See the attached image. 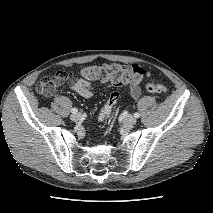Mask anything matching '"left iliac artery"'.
Here are the masks:
<instances>
[{"mask_svg": "<svg viewBox=\"0 0 213 213\" xmlns=\"http://www.w3.org/2000/svg\"><path fill=\"white\" fill-rule=\"evenodd\" d=\"M134 117H135V118H139V117H140V113L135 112V113H134Z\"/></svg>", "mask_w": 213, "mask_h": 213, "instance_id": "1", "label": "left iliac artery"}]
</instances>
